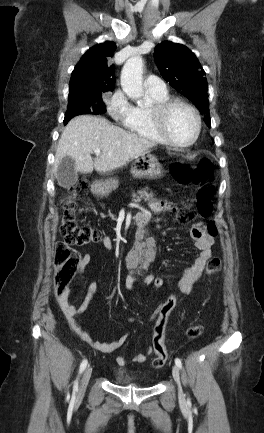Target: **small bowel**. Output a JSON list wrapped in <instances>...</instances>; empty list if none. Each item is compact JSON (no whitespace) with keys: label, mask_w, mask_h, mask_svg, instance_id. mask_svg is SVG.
I'll list each match as a JSON object with an SVG mask.
<instances>
[{"label":"small bowel","mask_w":264,"mask_h":433,"mask_svg":"<svg viewBox=\"0 0 264 433\" xmlns=\"http://www.w3.org/2000/svg\"><path fill=\"white\" fill-rule=\"evenodd\" d=\"M149 208L157 213H161L164 211L175 210L176 207L172 202L168 201H150L148 203ZM190 235L194 239L197 249L199 250V255L194 263L185 269L182 277L179 280L180 291L183 294H189L192 291L194 283L201 276L204 267L207 261L212 256V248L214 244V239L206 232V228L203 222H196L191 230ZM102 245L106 248L107 251L112 250L111 241L104 237L102 239ZM91 262V255L89 253H85L81 260V268L86 267ZM142 281L145 284L153 285L157 289H162L165 286V282L162 278H155L153 276H143V277H135L133 275L129 276L126 279L125 286L127 289H132L134 283L136 281ZM97 292V286L95 283H90L87 286L85 296L83 301L79 307H76L72 304L70 300V291L67 290L64 294L58 296L57 300L61 307V310L66 317L71 328L79 335V337L92 346L95 350L102 353H113L117 349H119L127 340V335H123L112 342H100L93 340L89 334V332L83 327L80 317L86 311L91 299ZM159 308V307H158ZM158 315V309L155 313L150 317V320H153ZM155 353L153 346L149 347L147 353H140L135 355L132 358V361L135 363H142L146 360L149 354ZM116 363L119 366H125L128 361L123 356H117L115 358Z\"/></svg>","instance_id":"1"}]
</instances>
